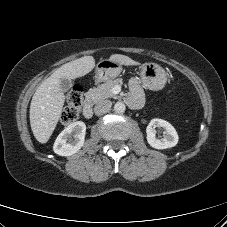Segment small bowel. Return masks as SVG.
<instances>
[{
  "mask_svg": "<svg viewBox=\"0 0 227 227\" xmlns=\"http://www.w3.org/2000/svg\"><path fill=\"white\" fill-rule=\"evenodd\" d=\"M131 94L128 98V103L132 107H139L143 104L144 96L141 85L138 80L132 79L130 81Z\"/></svg>",
  "mask_w": 227,
  "mask_h": 227,
  "instance_id": "c3829d8e",
  "label": "small bowel"
}]
</instances>
